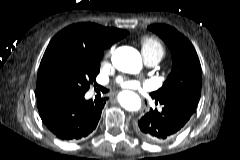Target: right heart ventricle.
Segmentation results:
<instances>
[{"label":"right heart ventricle","instance_id":"right-heart-ventricle-1","mask_svg":"<svg viewBox=\"0 0 240 160\" xmlns=\"http://www.w3.org/2000/svg\"><path fill=\"white\" fill-rule=\"evenodd\" d=\"M142 52L146 54H156L161 58L165 53L162 42L154 36H146L141 40Z\"/></svg>","mask_w":240,"mask_h":160}]
</instances>
